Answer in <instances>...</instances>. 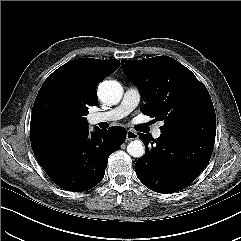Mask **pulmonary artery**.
<instances>
[{"mask_svg":"<svg viewBox=\"0 0 241 241\" xmlns=\"http://www.w3.org/2000/svg\"><path fill=\"white\" fill-rule=\"evenodd\" d=\"M140 101V93L136 88H128L123 96L121 103L107 111L95 112L89 116L92 124L101 122H111L122 119L133 111ZM152 135L154 138H159L161 135V128L157 126L153 129Z\"/></svg>","mask_w":241,"mask_h":241,"instance_id":"1","label":"pulmonary artery"}]
</instances>
